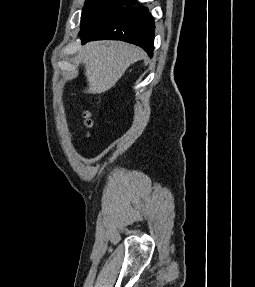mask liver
Returning <instances> with one entry per match:
<instances>
[{
	"mask_svg": "<svg viewBox=\"0 0 255 287\" xmlns=\"http://www.w3.org/2000/svg\"><path fill=\"white\" fill-rule=\"evenodd\" d=\"M78 54L81 64H85L86 94L107 92L131 64L144 56L143 50L125 42H89Z\"/></svg>",
	"mask_w": 255,
	"mask_h": 287,
	"instance_id": "obj_1",
	"label": "liver"
}]
</instances>
